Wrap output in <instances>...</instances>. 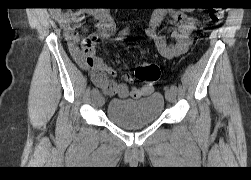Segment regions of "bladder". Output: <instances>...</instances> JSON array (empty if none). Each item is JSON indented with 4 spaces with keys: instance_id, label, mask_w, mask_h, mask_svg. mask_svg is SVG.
Segmentation results:
<instances>
[{
    "instance_id": "obj_1",
    "label": "bladder",
    "mask_w": 251,
    "mask_h": 180,
    "mask_svg": "<svg viewBox=\"0 0 251 180\" xmlns=\"http://www.w3.org/2000/svg\"><path fill=\"white\" fill-rule=\"evenodd\" d=\"M165 99L161 93L154 92L147 97L133 99H112L106 114L108 119L125 129L141 128L156 122L162 115Z\"/></svg>"
}]
</instances>
